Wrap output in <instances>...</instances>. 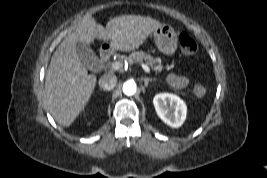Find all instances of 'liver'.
I'll use <instances>...</instances> for the list:
<instances>
[{
  "label": "liver",
  "mask_w": 267,
  "mask_h": 178,
  "mask_svg": "<svg viewBox=\"0 0 267 178\" xmlns=\"http://www.w3.org/2000/svg\"><path fill=\"white\" fill-rule=\"evenodd\" d=\"M162 24L152 18L127 16L108 23L106 31L93 19L61 44L46 77V103L58 123L68 126L84 108L96 77L87 74L76 54L77 43L89 45L95 38L110 40L114 50L134 51Z\"/></svg>",
  "instance_id": "1"
}]
</instances>
